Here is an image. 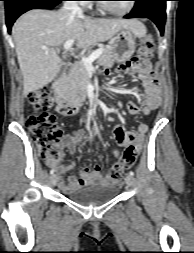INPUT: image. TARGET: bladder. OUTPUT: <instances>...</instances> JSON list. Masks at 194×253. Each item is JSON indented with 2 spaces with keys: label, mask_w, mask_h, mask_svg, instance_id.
<instances>
[{
  "label": "bladder",
  "mask_w": 194,
  "mask_h": 253,
  "mask_svg": "<svg viewBox=\"0 0 194 253\" xmlns=\"http://www.w3.org/2000/svg\"><path fill=\"white\" fill-rule=\"evenodd\" d=\"M119 190L112 184H94L68 193L70 201L81 206H99L112 201Z\"/></svg>",
  "instance_id": "obj_1"
}]
</instances>
